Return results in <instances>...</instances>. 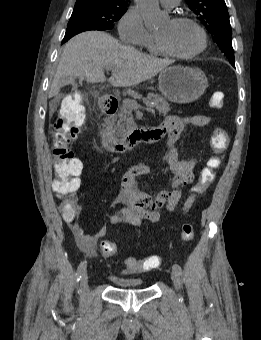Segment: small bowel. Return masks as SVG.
<instances>
[{
	"label": "small bowel",
	"mask_w": 261,
	"mask_h": 340,
	"mask_svg": "<svg viewBox=\"0 0 261 340\" xmlns=\"http://www.w3.org/2000/svg\"><path fill=\"white\" fill-rule=\"evenodd\" d=\"M210 123V118L206 115H194L187 117L168 116L156 127L160 135V140H164V160L172 173L170 186L157 195L152 196L139 192L136 188V178L147 175L150 168L145 165L130 167L122 176L121 190L113 199V206L121 208L109 216L112 225L127 224L139 227L145 221L156 222L160 217V209L166 207L169 212L176 209L181 196L182 187L194 182V159H180L175 143L181 136L184 128L188 125L205 127ZM196 195L192 193L185 201L184 208L191 207ZM80 206L76 203V212L72 216L63 215V220L73 233L79 248L87 254H93L97 242L107 233V226L103 225L96 233L88 235L83 232L79 222Z\"/></svg>",
	"instance_id": "small-bowel-1"
}]
</instances>
